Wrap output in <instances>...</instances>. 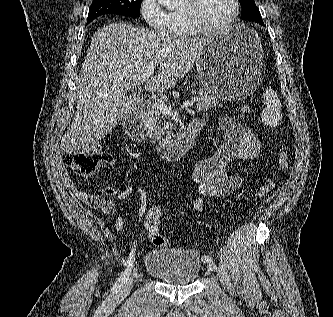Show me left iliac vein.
<instances>
[{"label":"left iliac vein","instance_id":"1","mask_svg":"<svg viewBox=\"0 0 333 317\" xmlns=\"http://www.w3.org/2000/svg\"><path fill=\"white\" fill-rule=\"evenodd\" d=\"M207 267L210 271H213V272L217 271V266H216L215 262H213V261L208 262Z\"/></svg>","mask_w":333,"mask_h":317}]
</instances>
